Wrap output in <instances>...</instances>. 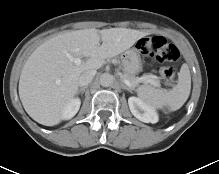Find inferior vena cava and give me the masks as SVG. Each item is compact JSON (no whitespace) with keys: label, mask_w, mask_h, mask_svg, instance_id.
Instances as JSON below:
<instances>
[{"label":"inferior vena cava","mask_w":219,"mask_h":174,"mask_svg":"<svg viewBox=\"0 0 219 174\" xmlns=\"http://www.w3.org/2000/svg\"><path fill=\"white\" fill-rule=\"evenodd\" d=\"M95 74H96L95 70H89L82 73L79 77V85L87 86L93 80Z\"/></svg>","instance_id":"602c4592"}]
</instances>
